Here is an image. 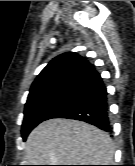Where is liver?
Segmentation results:
<instances>
[{
  "instance_id": "obj_1",
  "label": "liver",
  "mask_w": 135,
  "mask_h": 166,
  "mask_svg": "<svg viewBox=\"0 0 135 166\" xmlns=\"http://www.w3.org/2000/svg\"><path fill=\"white\" fill-rule=\"evenodd\" d=\"M114 152L110 136L97 127L50 119L29 134L25 159L30 165H111Z\"/></svg>"
}]
</instances>
